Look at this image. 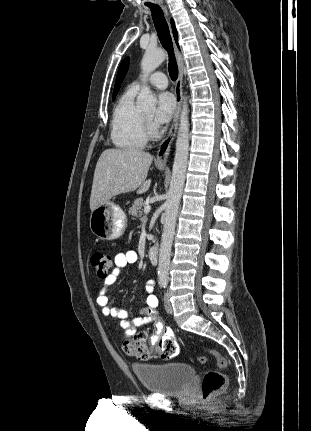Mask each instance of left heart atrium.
<instances>
[{
  "label": "left heart atrium",
  "mask_w": 311,
  "mask_h": 431,
  "mask_svg": "<svg viewBox=\"0 0 311 431\" xmlns=\"http://www.w3.org/2000/svg\"><path fill=\"white\" fill-rule=\"evenodd\" d=\"M176 99L170 92H162L158 96L157 110L154 115L156 125L161 126L171 121L176 111Z\"/></svg>",
  "instance_id": "39dd6f15"
}]
</instances>
